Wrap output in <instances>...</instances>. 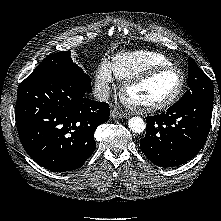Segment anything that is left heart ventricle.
Segmentation results:
<instances>
[{
  "instance_id": "left-heart-ventricle-1",
  "label": "left heart ventricle",
  "mask_w": 221,
  "mask_h": 221,
  "mask_svg": "<svg viewBox=\"0 0 221 221\" xmlns=\"http://www.w3.org/2000/svg\"><path fill=\"white\" fill-rule=\"evenodd\" d=\"M181 76L177 71H164L131 87L127 93L134 103L147 105L166 100L178 89Z\"/></svg>"
}]
</instances>
